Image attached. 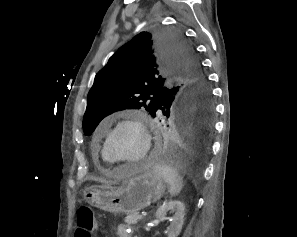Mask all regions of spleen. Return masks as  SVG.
Returning <instances> with one entry per match:
<instances>
[{
	"mask_svg": "<svg viewBox=\"0 0 297 237\" xmlns=\"http://www.w3.org/2000/svg\"><path fill=\"white\" fill-rule=\"evenodd\" d=\"M154 172L169 185L171 196H176L181 192L183 188V177L179 175L175 168L169 167L167 164H156L154 166Z\"/></svg>",
	"mask_w": 297,
	"mask_h": 237,
	"instance_id": "1",
	"label": "spleen"
}]
</instances>
